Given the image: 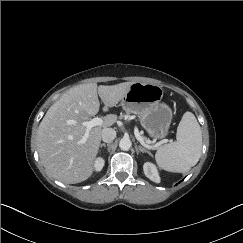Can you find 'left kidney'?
I'll return each instance as SVG.
<instances>
[{
  "label": "left kidney",
  "mask_w": 243,
  "mask_h": 243,
  "mask_svg": "<svg viewBox=\"0 0 243 243\" xmlns=\"http://www.w3.org/2000/svg\"><path fill=\"white\" fill-rule=\"evenodd\" d=\"M143 170L147 178H149L150 180L156 183L160 182V176L158 170L153 163L150 162L144 163Z\"/></svg>",
  "instance_id": "left-kidney-1"
}]
</instances>
